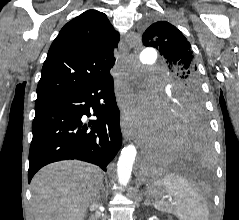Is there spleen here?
I'll list each match as a JSON object with an SVG mask.
<instances>
[{
    "mask_svg": "<svg viewBox=\"0 0 239 220\" xmlns=\"http://www.w3.org/2000/svg\"><path fill=\"white\" fill-rule=\"evenodd\" d=\"M155 186H164L175 199L173 204L155 201L154 207L164 212H171L179 220H209V210L203 197L178 174H166L155 180Z\"/></svg>",
    "mask_w": 239,
    "mask_h": 220,
    "instance_id": "obj_1",
    "label": "spleen"
}]
</instances>
